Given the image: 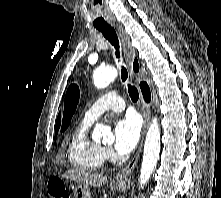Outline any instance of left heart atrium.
Here are the masks:
<instances>
[{"label": "left heart atrium", "instance_id": "1", "mask_svg": "<svg viewBox=\"0 0 221 198\" xmlns=\"http://www.w3.org/2000/svg\"><path fill=\"white\" fill-rule=\"evenodd\" d=\"M140 129V122L134 115H128L117 121L114 126V148L117 153L126 155L135 148L140 137Z\"/></svg>", "mask_w": 221, "mask_h": 198}]
</instances>
